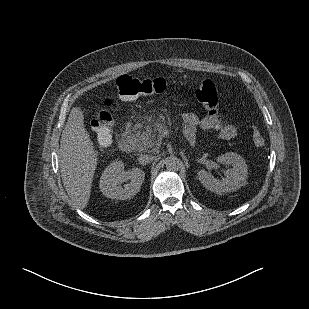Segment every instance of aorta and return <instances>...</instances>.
Returning <instances> with one entry per match:
<instances>
[{
  "label": "aorta",
  "mask_w": 309,
  "mask_h": 309,
  "mask_svg": "<svg viewBox=\"0 0 309 309\" xmlns=\"http://www.w3.org/2000/svg\"><path fill=\"white\" fill-rule=\"evenodd\" d=\"M164 164H165L166 169L168 171H178L181 168V165H182L180 159H178L175 156L167 157L164 160Z\"/></svg>",
  "instance_id": "1"
}]
</instances>
